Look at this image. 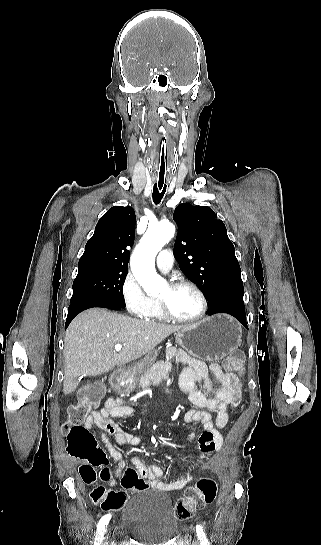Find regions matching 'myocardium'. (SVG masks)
Masks as SVG:
<instances>
[{
  "label": "myocardium",
  "instance_id": "obj_1",
  "mask_svg": "<svg viewBox=\"0 0 321 545\" xmlns=\"http://www.w3.org/2000/svg\"><path fill=\"white\" fill-rule=\"evenodd\" d=\"M169 286L171 287L172 290H179L183 288L192 289L199 296L201 306L197 315L191 318H183V317L177 316L176 314L171 312L169 309H167L164 305L159 303L158 307L161 313L164 315V317L169 321H173V322L181 323V324H194V323L200 322L208 311V299L204 291L197 284L187 280L174 282L169 284Z\"/></svg>",
  "mask_w": 321,
  "mask_h": 545
}]
</instances>
